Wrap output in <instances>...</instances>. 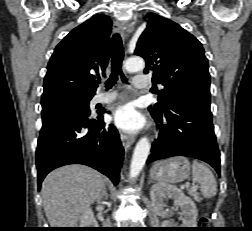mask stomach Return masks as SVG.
I'll use <instances>...</instances> for the list:
<instances>
[{"mask_svg":"<svg viewBox=\"0 0 252 231\" xmlns=\"http://www.w3.org/2000/svg\"><path fill=\"white\" fill-rule=\"evenodd\" d=\"M190 175V163L187 158L178 156L155 163L151 170L152 179L167 183H178Z\"/></svg>","mask_w":252,"mask_h":231,"instance_id":"1","label":"stomach"}]
</instances>
